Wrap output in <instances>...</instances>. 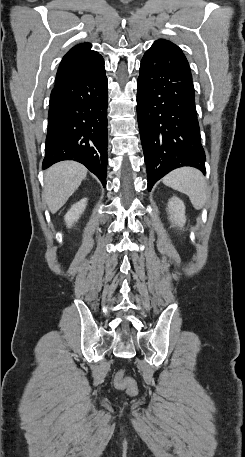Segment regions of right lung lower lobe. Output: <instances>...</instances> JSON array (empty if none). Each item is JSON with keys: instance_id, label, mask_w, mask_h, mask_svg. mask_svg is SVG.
Here are the masks:
<instances>
[{"instance_id": "98d812e1", "label": "right lung lower lobe", "mask_w": 245, "mask_h": 457, "mask_svg": "<svg viewBox=\"0 0 245 457\" xmlns=\"http://www.w3.org/2000/svg\"><path fill=\"white\" fill-rule=\"evenodd\" d=\"M107 77L104 68L55 84L42 168L62 160L84 164L106 185Z\"/></svg>"}]
</instances>
